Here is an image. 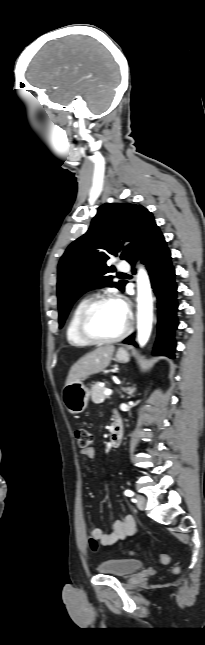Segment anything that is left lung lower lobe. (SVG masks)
Returning <instances> with one entry per match:
<instances>
[{
	"instance_id": "left-lung-lower-lobe-1",
	"label": "left lung lower lobe",
	"mask_w": 205,
	"mask_h": 645,
	"mask_svg": "<svg viewBox=\"0 0 205 645\" xmlns=\"http://www.w3.org/2000/svg\"><path fill=\"white\" fill-rule=\"evenodd\" d=\"M136 256L146 265L158 300V335L153 353L174 358V330L178 326L175 269L171 263L170 250L156 223L144 235L130 264L135 263ZM124 343L137 346L133 336L125 339Z\"/></svg>"
}]
</instances>
